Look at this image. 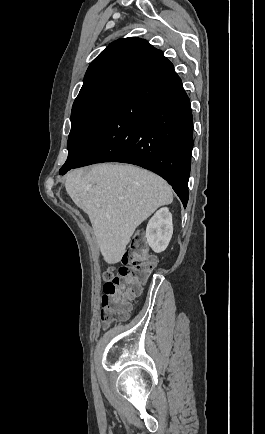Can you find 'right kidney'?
<instances>
[{
  "instance_id": "1",
  "label": "right kidney",
  "mask_w": 265,
  "mask_h": 434,
  "mask_svg": "<svg viewBox=\"0 0 265 434\" xmlns=\"http://www.w3.org/2000/svg\"><path fill=\"white\" fill-rule=\"evenodd\" d=\"M173 234L172 214L169 208H161L149 220L146 228L147 242L153 252L160 254L166 250Z\"/></svg>"
}]
</instances>
